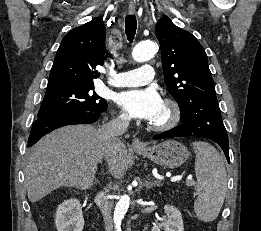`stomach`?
I'll return each mask as SVG.
<instances>
[{
	"label": "stomach",
	"mask_w": 261,
	"mask_h": 231,
	"mask_svg": "<svg viewBox=\"0 0 261 231\" xmlns=\"http://www.w3.org/2000/svg\"><path fill=\"white\" fill-rule=\"evenodd\" d=\"M136 152L164 168L179 167L189 157L188 149L175 140H166L142 150L137 149Z\"/></svg>",
	"instance_id": "stomach-1"
}]
</instances>
